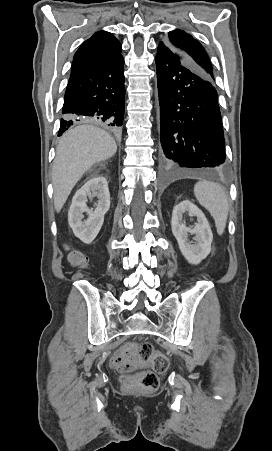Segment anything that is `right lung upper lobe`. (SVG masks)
Returning a JSON list of instances; mask_svg holds the SVG:
<instances>
[{"label":"right lung upper lobe","instance_id":"right-lung-upper-lobe-1","mask_svg":"<svg viewBox=\"0 0 272 451\" xmlns=\"http://www.w3.org/2000/svg\"><path fill=\"white\" fill-rule=\"evenodd\" d=\"M120 53V42L111 33L98 31L77 50L72 70L111 59Z\"/></svg>","mask_w":272,"mask_h":451}]
</instances>
